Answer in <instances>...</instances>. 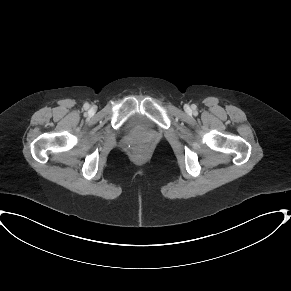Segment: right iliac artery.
Here are the masks:
<instances>
[{"label": "right iliac artery", "mask_w": 291, "mask_h": 291, "mask_svg": "<svg viewBox=\"0 0 291 291\" xmlns=\"http://www.w3.org/2000/svg\"><path fill=\"white\" fill-rule=\"evenodd\" d=\"M84 108H85V109H88V108H89V104H88V103H85V104H84Z\"/></svg>", "instance_id": "1"}]
</instances>
